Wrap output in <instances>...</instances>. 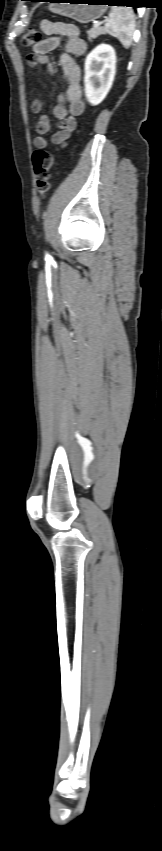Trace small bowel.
<instances>
[{"mask_svg":"<svg viewBox=\"0 0 162 851\" xmlns=\"http://www.w3.org/2000/svg\"><path fill=\"white\" fill-rule=\"evenodd\" d=\"M40 28L47 37L33 46L32 53L27 57V64L29 67L45 65L49 72L54 74L55 67L48 53L55 50L62 39H65L66 53L60 57L59 63L67 82V88L65 93L60 95L59 103L54 106L52 111L53 116L58 120L59 130L46 138L44 135L50 130V118L48 115L42 114L34 123V129L39 134L34 139V146L43 149L52 144L58 148H63L67 145L71 133L76 128L75 118L81 115L85 109L80 85L81 71L73 56L83 55L87 49V44L81 38L79 29L73 24L63 21L42 20ZM42 107L41 99L36 97L31 102L30 110L34 114H39Z\"/></svg>","mask_w":162,"mask_h":851,"instance_id":"obj_1","label":"small bowel"}]
</instances>
